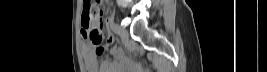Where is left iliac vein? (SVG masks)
<instances>
[{
  "instance_id": "4c4485c4",
  "label": "left iliac vein",
  "mask_w": 267,
  "mask_h": 72,
  "mask_svg": "<svg viewBox=\"0 0 267 72\" xmlns=\"http://www.w3.org/2000/svg\"><path fill=\"white\" fill-rule=\"evenodd\" d=\"M119 35L123 43H127L129 41V33L126 29L119 27Z\"/></svg>"
}]
</instances>
